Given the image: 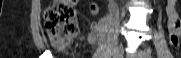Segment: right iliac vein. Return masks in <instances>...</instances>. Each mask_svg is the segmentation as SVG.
Instances as JSON below:
<instances>
[{
  "instance_id": "63e3f726",
  "label": "right iliac vein",
  "mask_w": 181,
  "mask_h": 58,
  "mask_svg": "<svg viewBox=\"0 0 181 58\" xmlns=\"http://www.w3.org/2000/svg\"><path fill=\"white\" fill-rule=\"evenodd\" d=\"M123 53V46L121 43H118L113 51V58H120Z\"/></svg>"
}]
</instances>
